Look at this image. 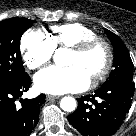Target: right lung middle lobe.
Listing matches in <instances>:
<instances>
[{
  "mask_svg": "<svg viewBox=\"0 0 136 136\" xmlns=\"http://www.w3.org/2000/svg\"><path fill=\"white\" fill-rule=\"evenodd\" d=\"M33 20L11 18L0 22V86L14 85L28 76L20 54V38Z\"/></svg>",
  "mask_w": 136,
  "mask_h": 136,
  "instance_id": "obj_1",
  "label": "right lung middle lobe"
}]
</instances>
